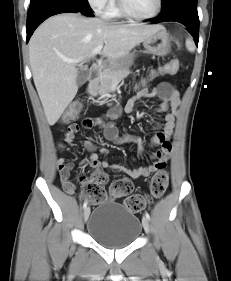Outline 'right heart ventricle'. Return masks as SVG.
Masks as SVG:
<instances>
[{
	"label": "right heart ventricle",
	"instance_id": "e07e8e85",
	"mask_svg": "<svg viewBox=\"0 0 231 281\" xmlns=\"http://www.w3.org/2000/svg\"><path fill=\"white\" fill-rule=\"evenodd\" d=\"M104 16L109 19L110 18H119L121 16L118 6L115 3V0L112 1L111 5L104 12Z\"/></svg>",
	"mask_w": 231,
	"mask_h": 281
}]
</instances>
